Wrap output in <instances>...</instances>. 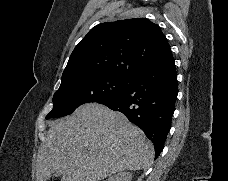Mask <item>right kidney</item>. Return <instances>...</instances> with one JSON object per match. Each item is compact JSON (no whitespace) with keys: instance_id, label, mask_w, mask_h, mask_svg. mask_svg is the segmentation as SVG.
<instances>
[{"instance_id":"1","label":"right kidney","mask_w":228,"mask_h":181,"mask_svg":"<svg viewBox=\"0 0 228 181\" xmlns=\"http://www.w3.org/2000/svg\"><path fill=\"white\" fill-rule=\"evenodd\" d=\"M106 181H132V175L127 173V171H121V173H117L114 177H109Z\"/></svg>"}]
</instances>
